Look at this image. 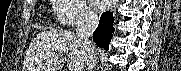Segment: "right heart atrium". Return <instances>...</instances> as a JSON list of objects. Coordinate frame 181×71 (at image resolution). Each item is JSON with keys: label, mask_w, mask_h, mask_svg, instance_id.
Here are the masks:
<instances>
[{"label": "right heart atrium", "mask_w": 181, "mask_h": 71, "mask_svg": "<svg viewBox=\"0 0 181 71\" xmlns=\"http://www.w3.org/2000/svg\"><path fill=\"white\" fill-rule=\"evenodd\" d=\"M60 21L65 25L88 24L95 19V15L84 0H59Z\"/></svg>", "instance_id": "obj_1"}]
</instances>
